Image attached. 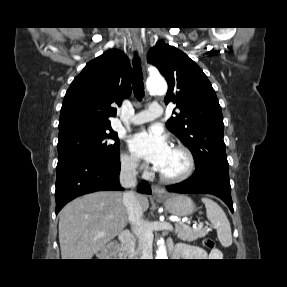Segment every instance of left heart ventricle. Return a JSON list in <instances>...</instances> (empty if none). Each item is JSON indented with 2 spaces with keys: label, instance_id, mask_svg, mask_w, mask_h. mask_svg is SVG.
Instances as JSON below:
<instances>
[{
  "label": "left heart ventricle",
  "instance_id": "left-heart-ventricle-1",
  "mask_svg": "<svg viewBox=\"0 0 287 287\" xmlns=\"http://www.w3.org/2000/svg\"><path fill=\"white\" fill-rule=\"evenodd\" d=\"M186 166L187 160L185 155L171 148L159 171L166 175H178L186 169Z\"/></svg>",
  "mask_w": 287,
  "mask_h": 287
}]
</instances>
